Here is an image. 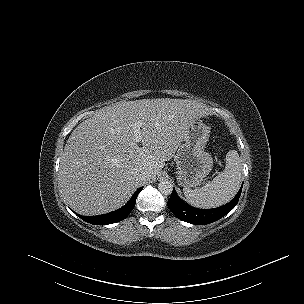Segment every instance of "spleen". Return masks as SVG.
Segmentation results:
<instances>
[{
  "label": "spleen",
  "instance_id": "obj_1",
  "mask_svg": "<svg viewBox=\"0 0 304 304\" xmlns=\"http://www.w3.org/2000/svg\"><path fill=\"white\" fill-rule=\"evenodd\" d=\"M242 161L236 150L226 154L225 169L201 188H183L187 201L199 208H213L230 201L240 188Z\"/></svg>",
  "mask_w": 304,
  "mask_h": 304
}]
</instances>
